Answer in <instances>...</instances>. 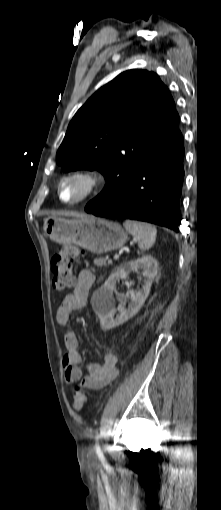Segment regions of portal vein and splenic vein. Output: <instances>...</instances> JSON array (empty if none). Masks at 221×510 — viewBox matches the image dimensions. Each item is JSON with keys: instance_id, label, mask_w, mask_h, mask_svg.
I'll return each mask as SVG.
<instances>
[{"instance_id": "portal-vein-and-splenic-vein-1", "label": "portal vein and splenic vein", "mask_w": 221, "mask_h": 510, "mask_svg": "<svg viewBox=\"0 0 221 510\" xmlns=\"http://www.w3.org/2000/svg\"><path fill=\"white\" fill-rule=\"evenodd\" d=\"M118 258H119V255H115V256H114V259H115V260H116V259H118ZM108 263H112V260H109V261H108Z\"/></svg>"}]
</instances>
